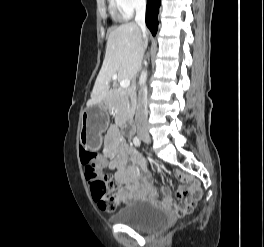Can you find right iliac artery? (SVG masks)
<instances>
[{"label":"right iliac artery","mask_w":264,"mask_h":247,"mask_svg":"<svg viewBox=\"0 0 264 247\" xmlns=\"http://www.w3.org/2000/svg\"><path fill=\"white\" fill-rule=\"evenodd\" d=\"M133 143H134L135 146L139 147L140 144H141V141H140V139L136 136V137H134V139H133Z\"/></svg>","instance_id":"82829eb1"}]
</instances>
